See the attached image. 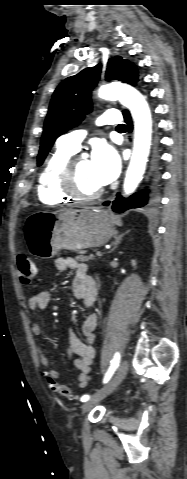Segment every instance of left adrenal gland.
<instances>
[{
  "label": "left adrenal gland",
  "mask_w": 187,
  "mask_h": 479,
  "mask_svg": "<svg viewBox=\"0 0 187 479\" xmlns=\"http://www.w3.org/2000/svg\"><path fill=\"white\" fill-rule=\"evenodd\" d=\"M127 234L126 233H123V234H120V235H117L114 237V242H113V248L109 251V252H113L117 247L118 245L120 244V242L122 241V238Z\"/></svg>",
  "instance_id": "1"
}]
</instances>
